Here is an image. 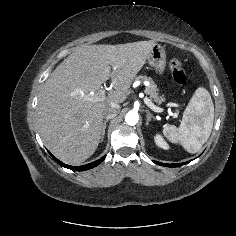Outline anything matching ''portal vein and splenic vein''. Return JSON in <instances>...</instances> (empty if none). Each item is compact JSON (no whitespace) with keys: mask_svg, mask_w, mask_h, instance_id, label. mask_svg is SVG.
I'll use <instances>...</instances> for the list:
<instances>
[{"mask_svg":"<svg viewBox=\"0 0 236 236\" xmlns=\"http://www.w3.org/2000/svg\"><path fill=\"white\" fill-rule=\"evenodd\" d=\"M103 100H105V90H100L99 96L96 98V101H103ZM144 102L154 112L160 113L163 111L162 108L156 106L148 97L144 98ZM173 116L176 118L178 116V114L174 113Z\"/></svg>","mask_w":236,"mask_h":236,"instance_id":"18ae733b","label":"portal vein and splenic vein"}]
</instances>
